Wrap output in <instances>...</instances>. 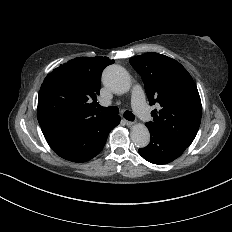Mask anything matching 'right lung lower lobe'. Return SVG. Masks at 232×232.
Here are the masks:
<instances>
[{
	"mask_svg": "<svg viewBox=\"0 0 232 232\" xmlns=\"http://www.w3.org/2000/svg\"><path fill=\"white\" fill-rule=\"evenodd\" d=\"M120 123V116L94 118L65 127L41 128L53 151L72 162H86L103 149L109 132Z\"/></svg>",
	"mask_w": 232,
	"mask_h": 232,
	"instance_id": "obj_1",
	"label": "right lung lower lobe"
}]
</instances>
